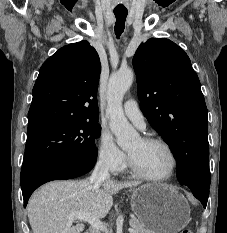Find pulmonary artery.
Segmentation results:
<instances>
[{
  "label": "pulmonary artery",
  "mask_w": 227,
  "mask_h": 233,
  "mask_svg": "<svg viewBox=\"0 0 227 233\" xmlns=\"http://www.w3.org/2000/svg\"><path fill=\"white\" fill-rule=\"evenodd\" d=\"M126 116L139 128L145 129V118L137 102L134 99H128L123 105Z\"/></svg>",
  "instance_id": "e3ab8cb5"
}]
</instances>
